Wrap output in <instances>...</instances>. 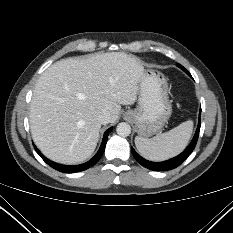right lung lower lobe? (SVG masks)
<instances>
[{
	"label": "right lung lower lobe",
	"instance_id": "right-lung-lower-lobe-1",
	"mask_svg": "<svg viewBox=\"0 0 233 233\" xmlns=\"http://www.w3.org/2000/svg\"><path fill=\"white\" fill-rule=\"evenodd\" d=\"M112 130V127L109 128L108 130H106V132L104 133V136H103V140H102V143H101V146L98 150V152L96 153V155L91 159L89 160L88 162L86 163H83V164H80V165H75V166H69V165H62V164H58V163H55L49 159H47L37 148L36 146L33 144L36 152L40 155V157L49 165L51 166L52 168L60 171V172H63V173H75V172H79V171H82V170H86L88 169L89 167H92L93 165H95L97 163V161L100 159V157L102 156L104 150H105V146H106V142H107V138H108V135L109 133L111 132Z\"/></svg>",
	"mask_w": 233,
	"mask_h": 233
}]
</instances>
